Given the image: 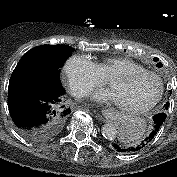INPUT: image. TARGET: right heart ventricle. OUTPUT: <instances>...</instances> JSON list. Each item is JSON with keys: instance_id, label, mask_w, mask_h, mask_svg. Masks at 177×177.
<instances>
[{"instance_id": "obj_1", "label": "right heart ventricle", "mask_w": 177, "mask_h": 177, "mask_svg": "<svg viewBox=\"0 0 177 177\" xmlns=\"http://www.w3.org/2000/svg\"><path fill=\"white\" fill-rule=\"evenodd\" d=\"M96 65L105 79L130 70H145L141 64L129 58H108L97 62Z\"/></svg>"}]
</instances>
